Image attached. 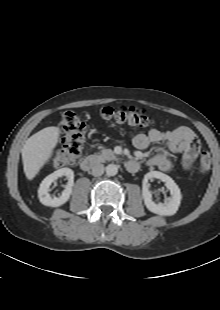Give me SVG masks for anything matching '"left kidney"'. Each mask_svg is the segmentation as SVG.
<instances>
[{
    "mask_svg": "<svg viewBox=\"0 0 220 310\" xmlns=\"http://www.w3.org/2000/svg\"><path fill=\"white\" fill-rule=\"evenodd\" d=\"M152 178H157L165 182V186L170 190L171 198H169V200L166 203L156 204L152 201V194L149 191V183H148V180ZM142 196L147 209L161 216L174 215L177 212L182 199L180 189L178 185L174 182V180L170 176L159 171H151L144 176Z\"/></svg>",
    "mask_w": 220,
    "mask_h": 310,
    "instance_id": "obj_1",
    "label": "left kidney"
}]
</instances>
